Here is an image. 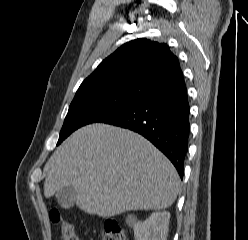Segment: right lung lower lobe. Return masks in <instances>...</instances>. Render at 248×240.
I'll return each instance as SVG.
<instances>
[{
    "label": "right lung lower lobe",
    "mask_w": 248,
    "mask_h": 240,
    "mask_svg": "<svg viewBox=\"0 0 248 240\" xmlns=\"http://www.w3.org/2000/svg\"><path fill=\"white\" fill-rule=\"evenodd\" d=\"M189 115L183 83L140 98L98 122L141 134L169 158L182 178L190 134Z\"/></svg>",
    "instance_id": "right-lung-lower-lobe-1"
}]
</instances>
